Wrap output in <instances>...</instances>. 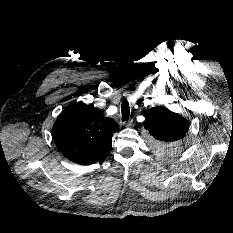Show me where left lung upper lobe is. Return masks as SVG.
<instances>
[{
  "label": "left lung upper lobe",
  "instance_id": "1",
  "mask_svg": "<svg viewBox=\"0 0 233 233\" xmlns=\"http://www.w3.org/2000/svg\"><path fill=\"white\" fill-rule=\"evenodd\" d=\"M151 135V144L164 152L173 153L181 147V139L189 128V122L179 114L163 106L149 109L143 123Z\"/></svg>",
  "mask_w": 233,
  "mask_h": 233
}]
</instances>
